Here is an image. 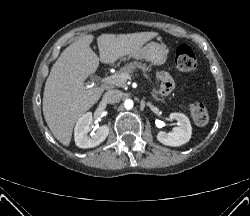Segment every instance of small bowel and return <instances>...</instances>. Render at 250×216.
<instances>
[{
	"instance_id": "1",
	"label": "small bowel",
	"mask_w": 250,
	"mask_h": 216,
	"mask_svg": "<svg viewBox=\"0 0 250 216\" xmlns=\"http://www.w3.org/2000/svg\"><path fill=\"white\" fill-rule=\"evenodd\" d=\"M159 89L162 94H168L173 88V81L168 74L159 73L157 76Z\"/></svg>"
}]
</instances>
